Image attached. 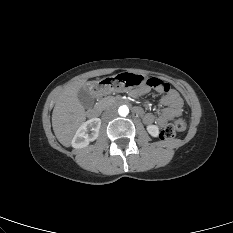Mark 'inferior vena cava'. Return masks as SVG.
Instances as JSON below:
<instances>
[{"label":"inferior vena cava","instance_id":"obj_1","mask_svg":"<svg viewBox=\"0 0 233 233\" xmlns=\"http://www.w3.org/2000/svg\"><path fill=\"white\" fill-rule=\"evenodd\" d=\"M117 115V112L115 109H109V110H106L103 115H102V118L104 120H110V119H113L115 118Z\"/></svg>","mask_w":233,"mask_h":233}]
</instances>
